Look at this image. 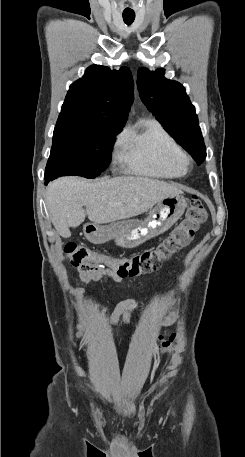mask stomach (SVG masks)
<instances>
[{
	"label": "stomach",
	"instance_id": "0dacf381",
	"mask_svg": "<svg viewBox=\"0 0 245 457\" xmlns=\"http://www.w3.org/2000/svg\"><path fill=\"white\" fill-rule=\"evenodd\" d=\"M186 206V198L182 194H171L158 200L145 220L129 218V220H117L110 224L87 222L83 226V233L91 243H106L115 239L118 247L134 249L145 241L168 231L170 226L182 216Z\"/></svg>",
	"mask_w": 245,
	"mask_h": 457
}]
</instances>
